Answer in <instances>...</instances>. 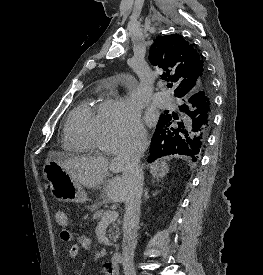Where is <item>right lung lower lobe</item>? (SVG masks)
I'll use <instances>...</instances> for the list:
<instances>
[{
    "label": "right lung lower lobe",
    "mask_w": 263,
    "mask_h": 275,
    "mask_svg": "<svg viewBox=\"0 0 263 275\" xmlns=\"http://www.w3.org/2000/svg\"><path fill=\"white\" fill-rule=\"evenodd\" d=\"M211 93V84L207 78L205 86L178 97L184 101L179 107L186 114L183 119L176 123L177 117L174 115L160 116L151 140L149 162L170 154L188 155L196 161L212 124H209L207 114V102Z\"/></svg>",
    "instance_id": "obj_1"
}]
</instances>
